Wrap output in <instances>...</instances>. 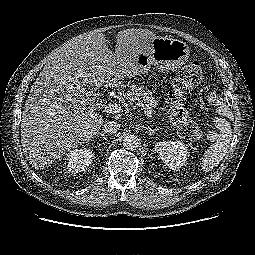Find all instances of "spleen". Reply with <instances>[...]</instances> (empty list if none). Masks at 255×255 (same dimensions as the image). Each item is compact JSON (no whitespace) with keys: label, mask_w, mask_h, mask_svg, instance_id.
Wrapping results in <instances>:
<instances>
[{"label":"spleen","mask_w":255,"mask_h":255,"mask_svg":"<svg viewBox=\"0 0 255 255\" xmlns=\"http://www.w3.org/2000/svg\"><path fill=\"white\" fill-rule=\"evenodd\" d=\"M220 133L212 145L204 152L201 160V170L205 172L211 171L214 167L222 161L226 155L231 137L232 129L228 121L225 119H219L217 124Z\"/></svg>","instance_id":"obj_1"}]
</instances>
